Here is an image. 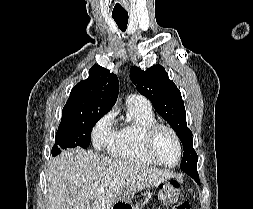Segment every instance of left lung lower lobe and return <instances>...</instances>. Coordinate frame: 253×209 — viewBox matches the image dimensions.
Here are the masks:
<instances>
[{
	"label": "left lung lower lobe",
	"instance_id": "obj_1",
	"mask_svg": "<svg viewBox=\"0 0 253 209\" xmlns=\"http://www.w3.org/2000/svg\"><path fill=\"white\" fill-rule=\"evenodd\" d=\"M190 176L197 182V184L200 185V180H199L198 172L193 173V174H191Z\"/></svg>",
	"mask_w": 253,
	"mask_h": 209
}]
</instances>
